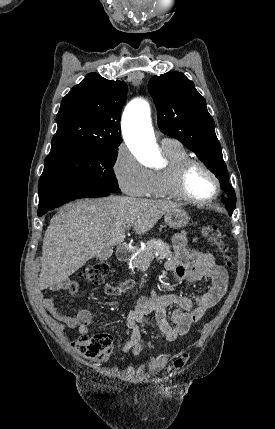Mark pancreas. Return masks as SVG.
<instances>
[{
    "mask_svg": "<svg viewBox=\"0 0 275 429\" xmlns=\"http://www.w3.org/2000/svg\"><path fill=\"white\" fill-rule=\"evenodd\" d=\"M156 253L161 258H168L172 256V252L168 244L152 239L149 240L145 244L144 249L134 257L132 266L139 269L149 266L152 260L155 258Z\"/></svg>",
    "mask_w": 275,
    "mask_h": 429,
    "instance_id": "obj_1",
    "label": "pancreas"
}]
</instances>
